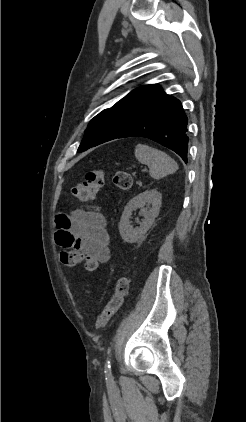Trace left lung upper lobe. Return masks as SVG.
Instances as JSON below:
<instances>
[{
    "mask_svg": "<svg viewBox=\"0 0 246 422\" xmlns=\"http://www.w3.org/2000/svg\"><path fill=\"white\" fill-rule=\"evenodd\" d=\"M164 95L165 92L157 84L135 88L114 106L101 111L90 121L78 152L118 138Z\"/></svg>",
    "mask_w": 246,
    "mask_h": 422,
    "instance_id": "obj_1",
    "label": "left lung upper lobe"
}]
</instances>
